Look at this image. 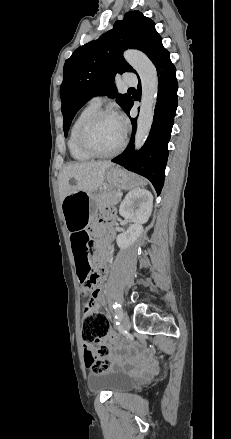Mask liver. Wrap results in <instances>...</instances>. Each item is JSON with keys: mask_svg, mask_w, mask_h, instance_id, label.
<instances>
[{"mask_svg": "<svg viewBox=\"0 0 231 439\" xmlns=\"http://www.w3.org/2000/svg\"><path fill=\"white\" fill-rule=\"evenodd\" d=\"M112 166L109 161L67 164L59 174L60 201L74 191L97 190L104 182L105 172ZM71 179L76 181L75 185L70 184Z\"/></svg>", "mask_w": 231, "mask_h": 439, "instance_id": "obj_1", "label": "liver"}]
</instances>
